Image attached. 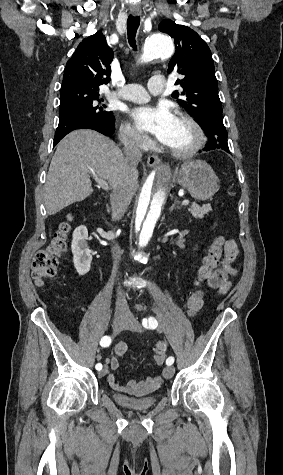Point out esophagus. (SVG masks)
<instances>
[{
  "label": "esophagus",
  "instance_id": "obj_1",
  "mask_svg": "<svg viewBox=\"0 0 283 475\" xmlns=\"http://www.w3.org/2000/svg\"><path fill=\"white\" fill-rule=\"evenodd\" d=\"M131 13L134 16H138V15H141L142 11L141 10H133V11H131ZM160 164H161V160L157 155H155V154L149 155L148 160H147V165L148 166L157 167Z\"/></svg>",
  "mask_w": 283,
  "mask_h": 475
}]
</instances>
